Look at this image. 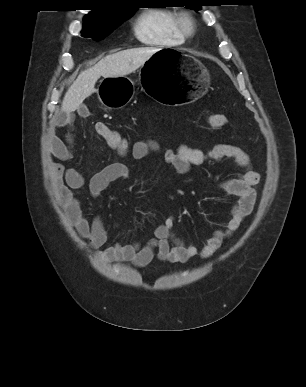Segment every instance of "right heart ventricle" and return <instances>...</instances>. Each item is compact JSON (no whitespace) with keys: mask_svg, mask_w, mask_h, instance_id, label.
Returning <instances> with one entry per match:
<instances>
[{"mask_svg":"<svg viewBox=\"0 0 306 387\" xmlns=\"http://www.w3.org/2000/svg\"><path fill=\"white\" fill-rule=\"evenodd\" d=\"M178 12L169 8H151L141 12L133 24L135 37L143 44L174 47L185 42L178 24Z\"/></svg>","mask_w":306,"mask_h":387,"instance_id":"1","label":"right heart ventricle"}]
</instances>
